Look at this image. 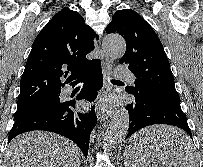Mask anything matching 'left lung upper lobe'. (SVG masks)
<instances>
[{
	"label": "left lung upper lobe",
	"mask_w": 203,
	"mask_h": 167,
	"mask_svg": "<svg viewBox=\"0 0 203 167\" xmlns=\"http://www.w3.org/2000/svg\"><path fill=\"white\" fill-rule=\"evenodd\" d=\"M106 32L119 33L126 40V52L119 63L128 65L137 78L135 86L125 88L127 92L137 95L155 91L160 96H178L163 45L138 13L130 9L116 11Z\"/></svg>",
	"instance_id": "5c2ea615"
}]
</instances>
